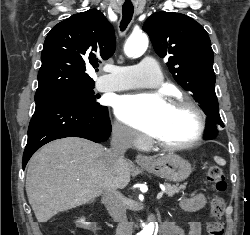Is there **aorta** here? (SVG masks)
<instances>
[{
  "label": "aorta",
  "instance_id": "1",
  "mask_svg": "<svg viewBox=\"0 0 250 235\" xmlns=\"http://www.w3.org/2000/svg\"><path fill=\"white\" fill-rule=\"evenodd\" d=\"M148 47V38L144 35H131L124 47L127 56L133 57L135 55L143 54ZM155 230L154 223L144 225L143 229L137 235H153Z\"/></svg>",
  "mask_w": 250,
  "mask_h": 235
}]
</instances>
